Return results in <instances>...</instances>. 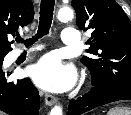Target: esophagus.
Returning <instances> with one entry per match:
<instances>
[{"label": "esophagus", "mask_w": 131, "mask_h": 115, "mask_svg": "<svg viewBox=\"0 0 131 115\" xmlns=\"http://www.w3.org/2000/svg\"><path fill=\"white\" fill-rule=\"evenodd\" d=\"M45 103L48 106H53L57 103V98L51 94H45Z\"/></svg>", "instance_id": "1"}]
</instances>
